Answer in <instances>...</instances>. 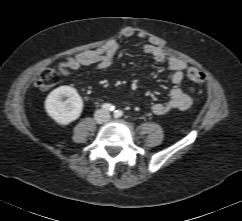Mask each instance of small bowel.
Segmentation results:
<instances>
[{"label": "small bowel", "instance_id": "c3829d8e", "mask_svg": "<svg viewBox=\"0 0 242 221\" xmlns=\"http://www.w3.org/2000/svg\"><path fill=\"white\" fill-rule=\"evenodd\" d=\"M124 37L136 36L139 39H146L148 36L143 31H135L132 28H125L122 31ZM120 44L117 40L111 39L93 50H86L69 56L57 64V69L65 76H70V71L76 70L85 65H96L98 72L106 71L114 62L115 56L119 50ZM143 50L150 55L157 63H167V69L171 73V80L175 85L169 93V98L165 102L154 103L151 110L156 115H165L173 110H186L192 105V98L180 87L184 78L186 63L174 56H170L164 50L153 42L144 45Z\"/></svg>", "mask_w": 242, "mask_h": 221}]
</instances>
